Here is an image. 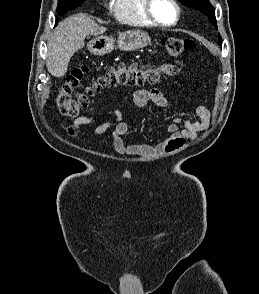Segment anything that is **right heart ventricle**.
Returning a JSON list of instances; mask_svg holds the SVG:
<instances>
[{"label": "right heart ventricle", "mask_w": 259, "mask_h": 294, "mask_svg": "<svg viewBox=\"0 0 259 294\" xmlns=\"http://www.w3.org/2000/svg\"><path fill=\"white\" fill-rule=\"evenodd\" d=\"M111 11L119 22L139 27L155 25L144 13V0H112Z\"/></svg>", "instance_id": "e07e8e85"}]
</instances>
